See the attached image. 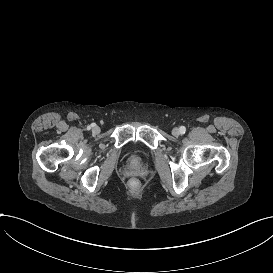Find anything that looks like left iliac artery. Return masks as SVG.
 I'll list each match as a JSON object with an SVG mask.
<instances>
[{
  "mask_svg": "<svg viewBox=\"0 0 273 273\" xmlns=\"http://www.w3.org/2000/svg\"><path fill=\"white\" fill-rule=\"evenodd\" d=\"M180 131H181V134H184L185 131H186V128H185L184 126H181V127H180Z\"/></svg>",
  "mask_w": 273,
  "mask_h": 273,
  "instance_id": "44dca946",
  "label": "left iliac artery"
}]
</instances>
